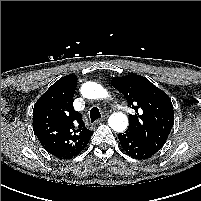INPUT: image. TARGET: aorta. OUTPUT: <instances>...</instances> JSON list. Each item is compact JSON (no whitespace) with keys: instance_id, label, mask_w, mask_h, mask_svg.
<instances>
[{"instance_id":"1","label":"aorta","mask_w":201,"mask_h":201,"mask_svg":"<svg viewBox=\"0 0 201 201\" xmlns=\"http://www.w3.org/2000/svg\"><path fill=\"white\" fill-rule=\"evenodd\" d=\"M81 94L88 99H103L108 97V92L100 84L87 82L81 87ZM109 126L116 132H123L128 126V118L119 112L112 114L108 119Z\"/></svg>"}]
</instances>
